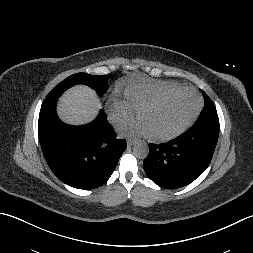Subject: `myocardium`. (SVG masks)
<instances>
[{"label": "myocardium", "instance_id": "1", "mask_svg": "<svg viewBox=\"0 0 253 253\" xmlns=\"http://www.w3.org/2000/svg\"><path fill=\"white\" fill-rule=\"evenodd\" d=\"M181 92H190L196 96L197 105H196L194 112L182 125H180L177 129H175L174 131H172L168 134H165V135L149 134L148 136L152 141H154V142H167V141L175 139L176 137H178L179 135L184 133L195 122V120L199 116V113L202 108V99H201L199 93L194 88L187 87V86H179V87H177L169 92H166L165 94L155 98L154 100L147 102L146 104L142 105L137 110V117L140 119L141 115L145 111L163 104L164 102H166L167 100H169L170 98H172L173 96H175Z\"/></svg>", "mask_w": 253, "mask_h": 253}]
</instances>
